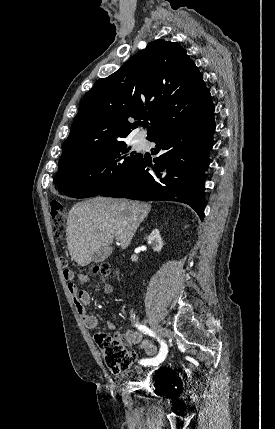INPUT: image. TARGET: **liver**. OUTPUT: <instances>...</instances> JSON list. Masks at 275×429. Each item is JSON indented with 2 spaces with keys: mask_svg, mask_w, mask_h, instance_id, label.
<instances>
[{
  "mask_svg": "<svg viewBox=\"0 0 275 429\" xmlns=\"http://www.w3.org/2000/svg\"><path fill=\"white\" fill-rule=\"evenodd\" d=\"M150 209L151 204L126 199L95 197L78 202L67 218L71 257L78 265L86 266L97 250L109 248L114 239L126 249Z\"/></svg>",
  "mask_w": 275,
  "mask_h": 429,
  "instance_id": "6515ba94",
  "label": "liver"
}]
</instances>
